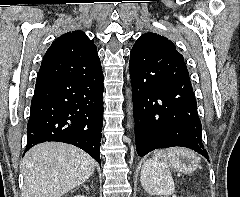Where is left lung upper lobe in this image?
Masks as SVG:
<instances>
[{
	"mask_svg": "<svg viewBox=\"0 0 240 197\" xmlns=\"http://www.w3.org/2000/svg\"><path fill=\"white\" fill-rule=\"evenodd\" d=\"M129 67L132 70L160 71L189 80L183 56L166 37L156 33H146L135 42L130 53Z\"/></svg>",
	"mask_w": 240,
	"mask_h": 197,
	"instance_id": "5c2ea615",
	"label": "left lung upper lobe"
}]
</instances>
